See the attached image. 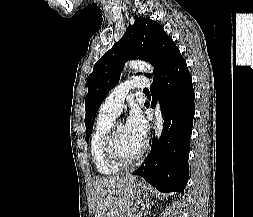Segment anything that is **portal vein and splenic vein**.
<instances>
[{"mask_svg":"<svg viewBox=\"0 0 253 217\" xmlns=\"http://www.w3.org/2000/svg\"><path fill=\"white\" fill-rule=\"evenodd\" d=\"M129 217H142V214L138 213L135 216H132L131 214L129 215Z\"/></svg>","mask_w":253,"mask_h":217,"instance_id":"18ae733b","label":"portal vein and splenic vein"}]
</instances>
